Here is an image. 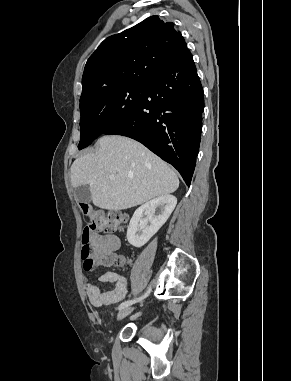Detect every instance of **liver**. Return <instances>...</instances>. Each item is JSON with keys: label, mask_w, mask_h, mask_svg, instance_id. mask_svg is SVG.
Returning <instances> with one entry per match:
<instances>
[{"label": "liver", "mask_w": 291, "mask_h": 381, "mask_svg": "<svg viewBox=\"0 0 291 381\" xmlns=\"http://www.w3.org/2000/svg\"><path fill=\"white\" fill-rule=\"evenodd\" d=\"M97 143L96 153L77 158L70 169L72 187L88 185L95 206L124 210L178 189L176 172L141 143L117 135Z\"/></svg>", "instance_id": "liver-1"}]
</instances>
